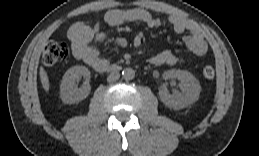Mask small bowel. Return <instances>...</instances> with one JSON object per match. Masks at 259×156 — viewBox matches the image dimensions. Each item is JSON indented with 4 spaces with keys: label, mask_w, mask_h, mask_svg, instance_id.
Masks as SVG:
<instances>
[{
    "label": "small bowel",
    "mask_w": 259,
    "mask_h": 156,
    "mask_svg": "<svg viewBox=\"0 0 259 156\" xmlns=\"http://www.w3.org/2000/svg\"><path fill=\"white\" fill-rule=\"evenodd\" d=\"M104 21L111 27L128 22H142L149 28H159L164 24L161 19L141 8L110 9L105 13ZM167 23L175 33L184 34V43L194 55L200 57L207 53L208 44L204 35L190 20L172 15L167 19ZM67 35L76 58L98 71L108 66V61L101 57L99 50V45L106 40L107 36L99 30L98 24L92 27L84 23H75L69 28ZM116 43L122 44V40L116 39ZM183 61L182 57L170 50L162 51L149 58V62L156 66H172Z\"/></svg>",
    "instance_id": "obj_1"
}]
</instances>
